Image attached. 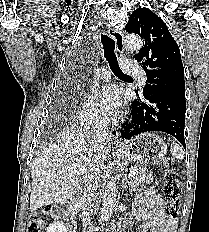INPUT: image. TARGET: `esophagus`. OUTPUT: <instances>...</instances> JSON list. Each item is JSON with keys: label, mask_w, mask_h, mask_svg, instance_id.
<instances>
[{"label": "esophagus", "mask_w": 209, "mask_h": 232, "mask_svg": "<svg viewBox=\"0 0 209 232\" xmlns=\"http://www.w3.org/2000/svg\"><path fill=\"white\" fill-rule=\"evenodd\" d=\"M109 36L114 39L116 43V47L119 53H124L125 47H124V36L121 31L115 30L113 28L109 29L108 31ZM110 136L115 144H118L119 140V133L116 128H112L110 132Z\"/></svg>", "instance_id": "34e87169"}]
</instances>
